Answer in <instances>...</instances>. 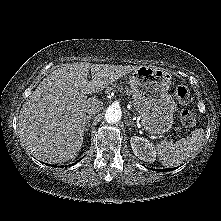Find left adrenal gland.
I'll return each mask as SVG.
<instances>
[{"instance_id": "left-adrenal-gland-1", "label": "left adrenal gland", "mask_w": 221, "mask_h": 221, "mask_svg": "<svg viewBox=\"0 0 221 221\" xmlns=\"http://www.w3.org/2000/svg\"><path fill=\"white\" fill-rule=\"evenodd\" d=\"M128 118H129V126L133 125L134 127H136L135 123L133 122L132 118H131V114L129 112H127Z\"/></svg>"}]
</instances>
